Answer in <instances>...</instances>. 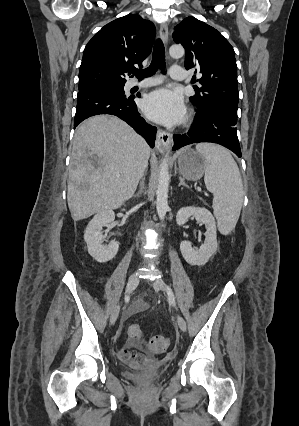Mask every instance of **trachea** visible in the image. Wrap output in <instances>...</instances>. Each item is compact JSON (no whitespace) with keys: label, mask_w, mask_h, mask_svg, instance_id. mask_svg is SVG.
Segmentation results:
<instances>
[{"label":"trachea","mask_w":299,"mask_h":426,"mask_svg":"<svg viewBox=\"0 0 299 426\" xmlns=\"http://www.w3.org/2000/svg\"><path fill=\"white\" fill-rule=\"evenodd\" d=\"M165 63V48L161 39H157L154 44L151 64L144 70H134L132 73L139 79L151 76L157 68H163Z\"/></svg>","instance_id":"1"}]
</instances>
